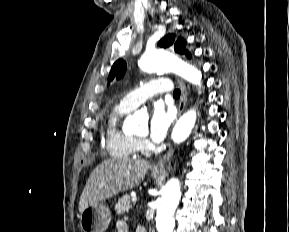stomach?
Masks as SVG:
<instances>
[{
  "instance_id": "stomach-1",
  "label": "stomach",
  "mask_w": 289,
  "mask_h": 232,
  "mask_svg": "<svg viewBox=\"0 0 289 232\" xmlns=\"http://www.w3.org/2000/svg\"><path fill=\"white\" fill-rule=\"evenodd\" d=\"M160 171H152L153 176H158ZM80 227L83 232H105L111 221L108 207L98 202L86 207L80 213Z\"/></svg>"
}]
</instances>
